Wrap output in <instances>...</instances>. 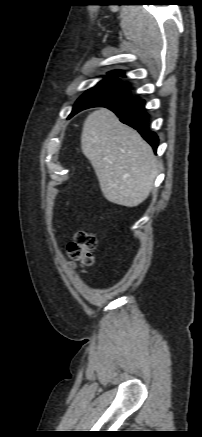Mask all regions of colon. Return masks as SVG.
Wrapping results in <instances>:
<instances>
[{
  "mask_svg": "<svg viewBox=\"0 0 202 437\" xmlns=\"http://www.w3.org/2000/svg\"><path fill=\"white\" fill-rule=\"evenodd\" d=\"M96 244L97 241L93 234L84 230L78 231L67 247L70 260L82 267L92 265L94 261L92 252Z\"/></svg>",
  "mask_w": 202,
  "mask_h": 437,
  "instance_id": "5ec220e1",
  "label": "colon"
}]
</instances>
